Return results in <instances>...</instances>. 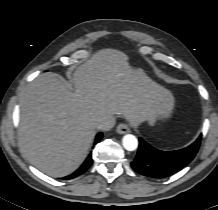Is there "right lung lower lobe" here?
<instances>
[{
    "label": "right lung lower lobe",
    "instance_id": "obj_1",
    "mask_svg": "<svg viewBox=\"0 0 218 210\" xmlns=\"http://www.w3.org/2000/svg\"><path fill=\"white\" fill-rule=\"evenodd\" d=\"M102 137H103L102 133H98L95 139V143H98L102 139ZM92 163H93V160L90 154L78 170H76L71 175L64 177V179L68 180V179L75 178L83 174L92 165Z\"/></svg>",
    "mask_w": 218,
    "mask_h": 210
}]
</instances>
